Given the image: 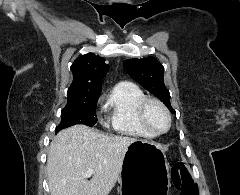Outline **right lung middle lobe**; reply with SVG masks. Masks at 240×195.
Here are the masks:
<instances>
[{
  "instance_id": "obj_1",
  "label": "right lung middle lobe",
  "mask_w": 240,
  "mask_h": 195,
  "mask_svg": "<svg viewBox=\"0 0 240 195\" xmlns=\"http://www.w3.org/2000/svg\"><path fill=\"white\" fill-rule=\"evenodd\" d=\"M99 97L68 99L61 111V122L57 131L75 124L93 126L97 122L96 105Z\"/></svg>"
}]
</instances>
